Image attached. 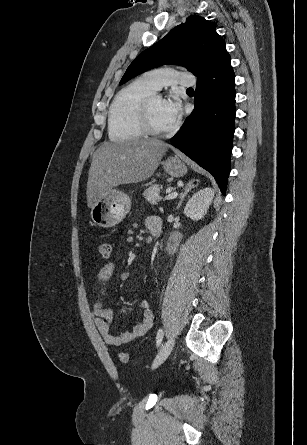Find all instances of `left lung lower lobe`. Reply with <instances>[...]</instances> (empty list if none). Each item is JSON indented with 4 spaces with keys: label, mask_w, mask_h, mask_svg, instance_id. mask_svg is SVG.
<instances>
[{
    "label": "left lung lower lobe",
    "mask_w": 307,
    "mask_h": 445,
    "mask_svg": "<svg viewBox=\"0 0 307 445\" xmlns=\"http://www.w3.org/2000/svg\"><path fill=\"white\" fill-rule=\"evenodd\" d=\"M235 75L230 56L198 76L195 108L171 143L209 171L225 195L235 120Z\"/></svg>",
    "instance_id": "0a47b994"
}]
</instances>
